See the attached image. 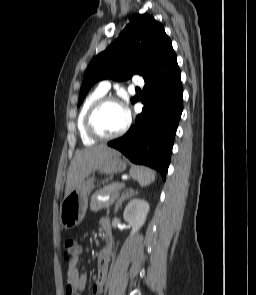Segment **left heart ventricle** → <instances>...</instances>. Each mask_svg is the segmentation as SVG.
<instances>
[{
	"label": "left heart ventricle",
	"mask_w": 256,
	"mask_h": 295,
	"mask_svg": "<svg viewBox=\"0 0 256 295\" xmlns=\"http://www.w3.org/2000/svg\"><path fill=\"white\" fill-rule=\"evenodd\" d=\"M126 122L124 109L115 103L101 107L94 116V126L98 132L110 135L119 131Z\"/></svg>",
	"instance_id": "left-heart-ventricle-1"
}]
</instances>
